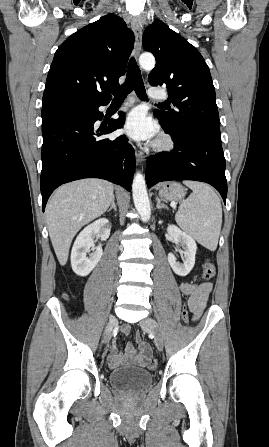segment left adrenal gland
<instances>
[{"label":"left adrenal gland","mask_w":269,"mask_h":447,"mask_svg":"<svg viewBox=\"0 0 269 447\" xmlns=\"http://www.w3.org/2000/svg\"><path fill=\"white\" fill-rule=\"evenodd\" d=\"M156 202H157V204H156V208H158V210H161V208H167V206H165V204H161V202H160L158 196H157V198H156Z\"/></svg>","instance_id":"left-adrenal-gland-1"}]
</instances>
